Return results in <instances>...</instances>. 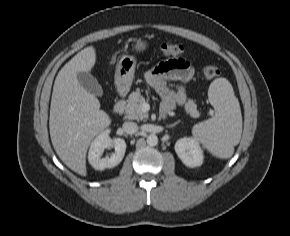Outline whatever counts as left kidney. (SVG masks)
<instances>
[{
	"instance_id": "left-kidney-1",
	"label": "left kidney",
	"mask_w": 290,
	"mask_h": 236,
	"mask_svg": "<svg viewBox=\"0 0 290 236\" xmlns=\"http://www.w3.org/2000/svg\"><path fill=\"white\" fill-rule=\"evenodd\" d=\"M175 152L188 167L201 166L203 163V150L196 139L189 137L179 139L175 144Z\"/></svg>"
}]
</instances>
